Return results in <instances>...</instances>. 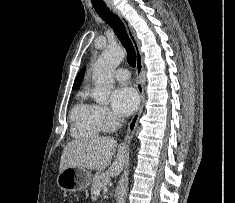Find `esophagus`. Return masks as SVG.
Wrapping results in <instances>:
<instances>
[{
    "mask_svg": "<svg viewBox=\"0 0 235 203\" xmlns=\"http://www.w3.org/2000/svg\"><path fill=\"white\" fill-rule=\"evenodd\" d=\"M107 6L114 14H116L122 20V22L125 25V28L127 30V33L129 35V38L131 39L133 46L135 48V51H136L137 90L140 95V103H139L137 111L135 112V114L133 115L132 119L130 120V122L128 124L127 132H126V136H125V142L129 143L132 140V138L135 134L136 128L138 126V120L141 116L143 106H144V100H145L144 75H143V55L140 50V43H139L138 39L136 38V35H135L131 25L127 21V19L122 15V13L112 3H108Z\"/></svg>",
    "mask_w": 235,
    "mask_h": 203,
    "instance_id": "34e87169",
    "label": "esophagus"
}]
</instances>
